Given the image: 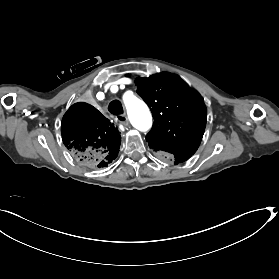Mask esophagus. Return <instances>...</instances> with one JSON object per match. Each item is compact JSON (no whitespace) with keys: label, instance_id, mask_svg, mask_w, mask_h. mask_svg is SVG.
Returning a JSON list of instances; mask_svg holds the SVG:
<instances>
[{"label":"esophagus","instance_id":"esophagus-1","mask_svg":"<svg viewBox=\"0 0 279 279\" xmlns=\"http://www.w3.org/2000/svg\"><path fill=\"white\" fill-rule=\"evenodd\" d=\"M116 120L119 123L123 124L124 126H128L129 125V120H128V118H127V116L125 114H118L116 116Z\"/></svg>","mask_w":279,"mask_h":279}]
</instances>
